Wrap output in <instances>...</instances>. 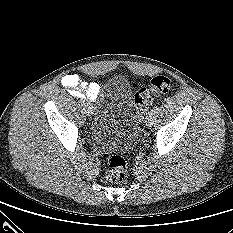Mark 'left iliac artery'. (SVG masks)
I'll use <instances>...</instances> for the list:
<instances>
[{"label": "left iliac artery", "instance_id": "left-iliac-artery-1", "mask_svg": "<svg viewBox=\"0 0 233 233\" xmlns=\"http://www.w3.org/2000/svg\"><path fill=\"white\" fill-rule=\"evenodd\" d=\"M158 110H159V107H157V106H155V107L152 108V112H154V113H157Z\"/></svg>", "mask_w": 233, "mask_h": 233}]
</instances>
